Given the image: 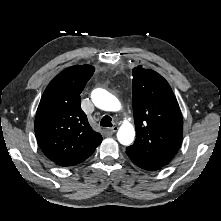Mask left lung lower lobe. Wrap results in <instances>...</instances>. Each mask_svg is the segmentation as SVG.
Wrapping results in <instances>:
<instances>
[{
	"label": "left lung lower lobe",
	"instance_id": "left-lung-lower-lobe-1",
	"mask_svg": "<svg viewBox=\"0 0 221 221\" xmlns=\"http://www.w3.org/2000/svg\"><path fill=\"white\" fill-rule=\"evenodd\" d=\"M127 155L134 164H136L138 167H140L142 169L149 170V171H156V170H159L163 167V166L158 165L152 161L133 156L129 153H127Z\"/></svg>",
	"mask_w": 221,
	"mask_h": 221
}]
</instances>
